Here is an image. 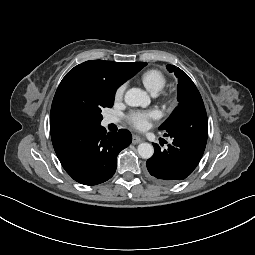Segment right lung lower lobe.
Masks as SVG:
<instances>
[{
  "mask_svg": "<svg viewBox=\"0 0 255 255\" xmlns=\"http://www.w3.org/2000/svg\"><path fill=\"white\" fill-rule=\"evenodd\" d=\"M54 150L65 171L77 182L97 185L110 179L117 155L132 142L126 129L106 134L98 126H66L51 130Z\"/></svg>",
  "mask_w": 255,
  "mask_h": 255,
  "instance_id": "right-lung-lower-lobe-1",
  "label": "right lung lower lobe"
}]
</instances>
